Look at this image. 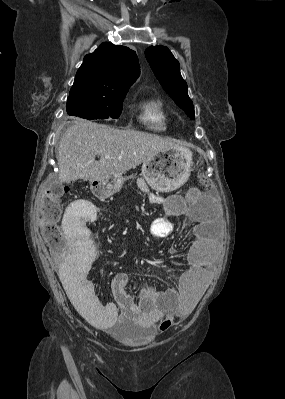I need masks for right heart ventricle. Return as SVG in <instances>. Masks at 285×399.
<instances>
[{
	"label": "right heart ventricle",
	"instance_id": "right-heart-ventricle-1",
	"mask_svg": "<svg viewBox=\"0 0 285 399\" xmlns=\"http://www.w3.org/2000/svg\"><path fill=\"white\" fill-rule=\"evenodd\" d=\"M140 121L153 130H164L167 115L163 103L156 98H146L137 104Z\"/></svg>",
	"mask_w": 285,
	"mask_h": 399
}]
</instances>
